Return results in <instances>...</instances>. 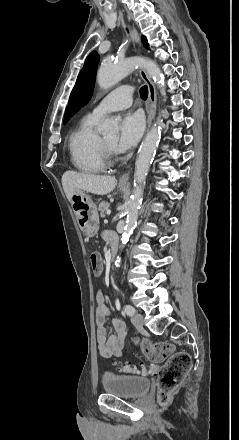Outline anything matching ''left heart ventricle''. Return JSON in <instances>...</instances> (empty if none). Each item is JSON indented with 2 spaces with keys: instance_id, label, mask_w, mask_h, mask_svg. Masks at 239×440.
Here are the masks:
<instances>
[{
  "instance_id": "1",
  "label": "left heart ventricle",
  "mask_w": 239,
  "mask_h": 440,
  "mask_svg": "<svg viewBox=\"0 0 239 440\" xmlns=\"http://www.w3.org/2000/svg\"><path fill=\"white\" fill-rule=\"evenodd\" d=\"M102 139L104 140V142L106 144L113 146V144L116 140V135L103 136Z\"/></svg>"
}]
</instances>
